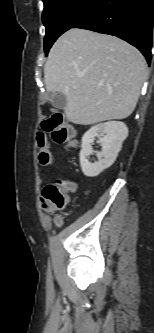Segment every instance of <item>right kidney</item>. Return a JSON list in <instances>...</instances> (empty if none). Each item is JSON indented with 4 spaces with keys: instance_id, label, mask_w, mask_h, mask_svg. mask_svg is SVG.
I'll return each instance as SVG.
<instances>
[{
    "instance_id": "obj_1",
    "label": "right kidney",
    "mask_w": 154,
    "mask_h": 333,
    "mask_svg": "<svg viewBox=\"0 0 154 333\" xmlns=\"http://www.w3.org/2000/svg\"><path fill=\"white\" fill-rule=\"evenodd\" d=\"M128 136V128L123 122L109 121L91 127L82 137V146L79 154L80 165L84 175L88 177L98 176L109 168L116 160L121 150L123 141ZM95 137L99 138L102 150L97 153L98 161L89 162V156L93 154L92 144Z\"/></svg>"
}]
</instances>
